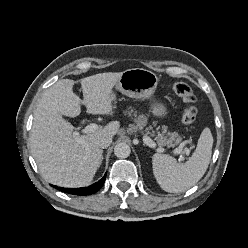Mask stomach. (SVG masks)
Listing matches in <instances>:
<instances>
[{"mask_svg":"<svg viewBox=\"0 0 248 248\" xmlns=\"http://www.w3.org/2000/svg\"><path fill=\"white\" fill-rule=\"evenodd\" d=\"M158 85V77L150 70L133 68L122 72L116 83V89L131 98L150 99ZM112 98L115 96L112 93ZM151 111L157 117H165L167 108L161 102L152 100Z\"/></svg>","mask_w":248,"mask_h":248,"instance_id":"obj_1","label":"stomach"}]
</instances>
